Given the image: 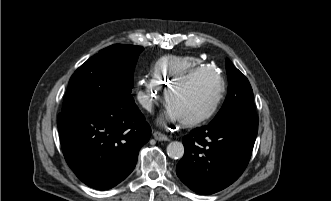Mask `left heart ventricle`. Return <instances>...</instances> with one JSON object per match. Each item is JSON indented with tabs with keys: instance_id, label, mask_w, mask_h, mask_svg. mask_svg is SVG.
<instances>
[{
	"instance_id": "left-heart-ventricle-1",
	"label": "left heart ventricle",
	"mask_w": 331,
	"mask_h": 201,
	"mask_svg": "<svg viewBox=\"0 0 331 201\" xmlns=\"http://www.w3.org/2000/svg\"><path fill=\"white\" fill-rule=\"evenodd\" d=\"M219 91V81L212 73H202L186 87L177 90L171 100V107L180 118H189L205 110Z\"/></svg>"
}]
</instances>
